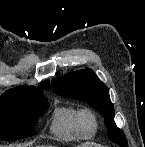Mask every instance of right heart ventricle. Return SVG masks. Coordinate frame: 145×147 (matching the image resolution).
Wrapping results in <instances>:
<instances>
[{
  "label": "right heart ventricle",
  "instance_id": "e07e8e85",
  "mask_svg": "<svg viewBox=\"0 0 145 147\" xmlns=\"http://www.w3.org/2000/svg\"><path fill=\"white\" fill-rule=\"evenodd\" d=\"M82 112L83 109L73 104L55 107L50 125L52 134L64 140L91 138L95 130L85 124Z\"/></svg>",
  "mask_w": 145,
  "mask_h": 147
}]
</instances>
